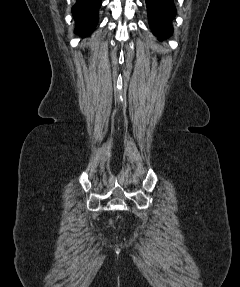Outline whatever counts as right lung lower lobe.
I'll list each match as a JSON object with an SVG mask.
<instances>
[{"instance_id":"1","label":"right lung lower lobe","mask_w":240,"mask_h":287,"mask_svg":"<svg viewBox=\"0 0 240 287\" xmlns=\"http://www.w3.org/2000/svg\"><path fill=\"white\" fill-rule=\"evenodd\" d=\"M101 0H77L72 7L76 27L75 33L87 36L94 30L98 22V10Z\"/></svg>"}]
</instances>
